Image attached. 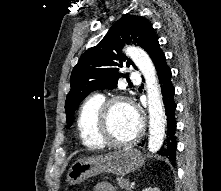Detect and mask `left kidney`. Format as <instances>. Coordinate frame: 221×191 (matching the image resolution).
<instances>
[{"label": "left kidney", "mask_w": 221, "mask_h": 191, "mask_svg": "<svg viewBox=\"0 0 221 191\" xmlns=\"http://www.w3.org/2000/svg\"><path fill=\"white\" fill-rule=\"evenodd\" d=\"M142 191H160L158 188H152V187H149V188H145L143 189Z\"/></svg>", "instance_id": "1"}]
</instances>
